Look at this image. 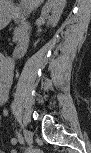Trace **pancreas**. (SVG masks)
<instances>
[{
    "label": "pancreas",
    "instance_id": "pancreas-1",
    "mask_svg": "<svg viewBox=\"0 0 91 153\" xmlns=\"http://www.w3.org/2000/svg\"><path fill=\"white\" fill-rule=\"evenodd\" d=\"M19 30H20V27H18L14 30V38H13L14 41L17 40V34H18Z\"/></svg>",
    "mask_w": 91,
    "mask_h": 153
}]
</instances>
